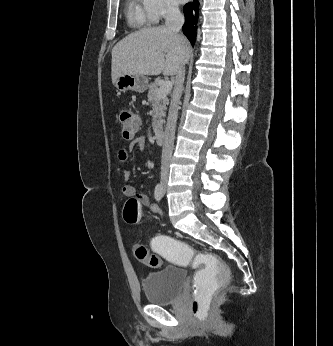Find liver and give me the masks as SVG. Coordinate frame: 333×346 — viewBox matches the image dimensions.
I'll return each instance as SVG.
<instances>
[{
  "label": "liver",
  "instance_id": "6515ba94",
  "mask_svg": "<svg viewBox=\"0 0 333 346\" xmlns=\"http://www.w3.org/2000/svg\"><path fill=\"white\" fill-rule=\"evenodd\" d=\"M191 52L188 40L165 26L141 29L114 46L112 83L123 74L176 75L189 60Z\"/></svg>",
  "mask_w": 333,
  "mask_h": 346
}]
</instances>
